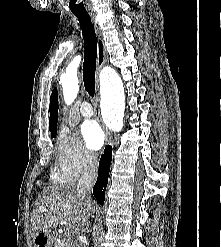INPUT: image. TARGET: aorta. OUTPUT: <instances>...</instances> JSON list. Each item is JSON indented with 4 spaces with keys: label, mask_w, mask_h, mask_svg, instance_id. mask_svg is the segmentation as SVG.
<instances>
[{
    "label": "aorta",
    "mask_w": 221,
    "mask_h": 247,
    "mask_svg": "<svg viewBox=\"0 0 221 247\" xmlns=\"http://www.w3.org/2000/svg\"><path fill=\"white\" fill-rule=\"evenodd\" d=\"M63 97L67 105L73 103L79 92L77 74L61 76ZM101 111L106 125L120 131L123 127L125 93L121 78L111 67H105L100 74Z\"/></svg>",
    "instance_id": "1"
}]
</instances>
